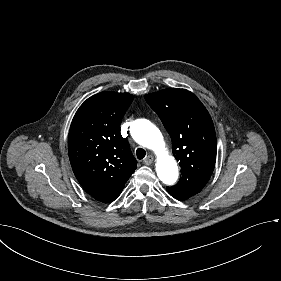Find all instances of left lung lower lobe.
<instances>
[{
    "mask_svg": "<svg viewBox=\"0 0 281 281\" xmlns=\"http://www.w3.org/2000/svg\"><path fill=\"white\" fill-rule=\"evenodd\" d=\"M166 190L168 191V193H169L172 197H174V198H176V199H178V200H185V199H188V198H189L188 196H186V195H184V194H180V193H178V192L173 191V190H172L171 188H169V187H167Z\"/></svg>",
    "mask_w": 281,
    "mask_h": 281,
    "instance_id": "left-lung-lower-lobe-1",
    "label": "left lung lower lobe"
}]
</instances>
